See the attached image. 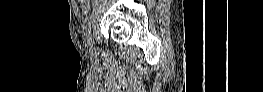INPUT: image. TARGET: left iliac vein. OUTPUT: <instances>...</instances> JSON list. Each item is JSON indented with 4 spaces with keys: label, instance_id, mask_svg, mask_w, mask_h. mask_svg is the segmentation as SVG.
Returning a JSON list of instances; mask_svg holds the SVG:
<instances>
[{
    "label": "left iliac vein",
    "instance_id": "1",
    "mask_svg": "<svg viewBox=\"0 0 263 92\" xmlns=\"http://www.w3.org/2000/svg\"><path fill=\"white\" fill-rule=\"evenodd\" d=\"M90 49H93V45L90 46Z\"/></svg>",
    "mask_w": 263,
    "mask_h": 92
}]
</instances>
